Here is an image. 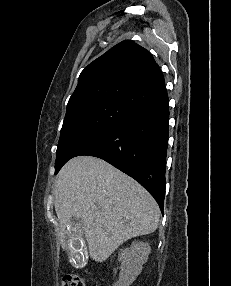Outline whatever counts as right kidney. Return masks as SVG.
<instances>
[{
  "label": "right kidney",
  "instance_id": "1",
  "mask_svg": "<svg viewBox=\"0 0 231 286\" xmlns=\"http://www.w3.org/2000/svg\"><path fill=\"white\" fill-rule=\"evenodd\" d=\"M150 252V245L143 242H133L130 248L122 250L119 280L113 286H130L141 273Z\"/></svg>",
  "mask_w": 231,
  "mask_h": 286
}]
</instances>
